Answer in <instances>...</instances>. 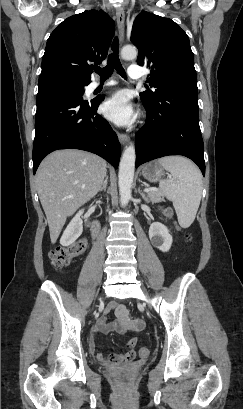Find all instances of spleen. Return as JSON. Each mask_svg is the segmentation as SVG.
I'll list each match as a JSON object with an SVG mask.
<instances>
[{
    "mask_svg": "<svg viewBox=\"0 0 243 409\" xmlns=\"http://www.w3.org/2000/svg\"><path fill=\"white\" fill-rule=\"evenodd\" d=\"M158 162L172 176L160 181V191L173 202L180 226L188 228L200 205L202 175L196 165L181 156L164 157Z\"/></svg>",
    "mask_w": 243,
    "mask_h": 409,
    "instance_id": "obj_1",
    "label": "spleen"
}]
</instances>
